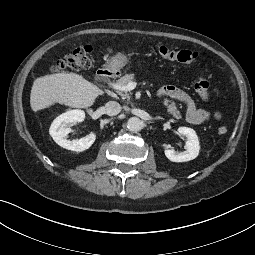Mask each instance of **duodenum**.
<instances>
[{
	"instance_id": "duodenum-1",
	"label": "duodenum",
	"mask_w": 255,
	"mask_h": 255,
	"mask_svg": "<svg viewBox=\"0 0 255 255\" xmlns=\"http://www.w3.org/2000/svg\"><path fill=\"white\" fill-rule=\"evenodd\" d=\"M117 76L116 72L113 70L108 69L107 67H101L97 73L96 77L98 79H108V78H115Z\"/></svg>"
}]
</instances>
